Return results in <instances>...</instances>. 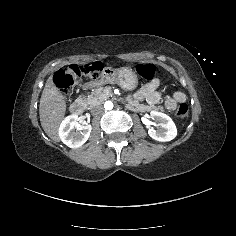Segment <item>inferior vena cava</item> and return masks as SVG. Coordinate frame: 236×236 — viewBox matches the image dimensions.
<instances>
[{
    "instance_id": "obj_1",
    "label": "inferior vena cava",
    "mask_w": 236,
    "mask_h": 236,
    "mask_svg": "<svg viewBox=\"0 0 236 236\" xmlns=\"http://www.w3.org/2000/svg\"><path fill=\"white\" fill-rule=\"evenodd\" d=\"M103 112V106L101 104H95L91 108V113L94 115L100 114Z\"/></svg>"
}]
</instances>
